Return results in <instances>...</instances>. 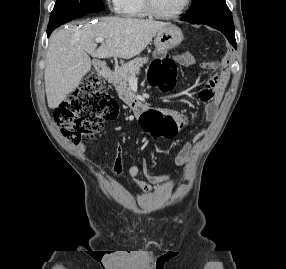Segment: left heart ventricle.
I'll use <instances>...</instances> for the list:
<instances>
[{"mask_svg":"<svg viewBox=\"0 0 286 269\" xmlns=\"http://www.w3.org/2000/svg\"><path fill=\"white\" fill-rule=\"evenodd\" d=\"M185 0H153L156 10L162 14H171L179 10Z\"/></svg>","mask_w":286,"mask_h":269,"instance_id":"left-heart-ventricle-1","label":"left heart ventricle"}]
</instances>
